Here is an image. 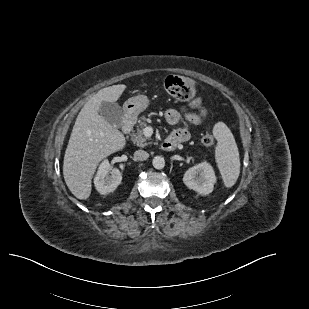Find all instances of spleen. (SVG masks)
<instances>
[{
	"label": "spleen",
	"instance_id": "spleen-1",
	"mask_svg": "<svg viewBox=\"0 0 309 309\" xmlns=\"http://www.w3.org/2000/svg\"><path fill=\"white\" fill-rule=\"evenodd\" d=\"M217 140L215 159L225 187L231 188L240 174V158L234 136L227 125L218 122L213 128Z\"/></svg>",
	"mask_w": 309,
	"mask_h": 309
}]
</instances>
